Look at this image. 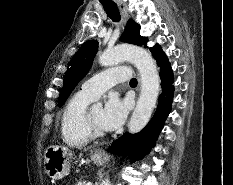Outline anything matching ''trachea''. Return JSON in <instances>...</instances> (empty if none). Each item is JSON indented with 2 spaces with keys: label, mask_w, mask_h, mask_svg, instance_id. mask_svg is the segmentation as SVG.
Returning <instances> with one entry per match:
<instances>
[{
  "label": "trachea",
  "mask_w": 233,
  "mask_h": 185,
  "mask_svg": "<svg viewBox=\"0 0 233 185\" xmlns=\"http://www.w3.org/2000/svg\"><path fill=\"white\" fill-rule=\"evenodd\" d=\"M102 5L108 17H110L114 22L120 21L121 16L115 3H102ZM130 84H137V80L135 78H132L130 80Z\"/></svg>",
  "instance_id": "trachea-1"
}]
</instances>
